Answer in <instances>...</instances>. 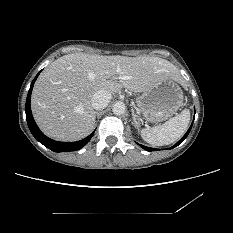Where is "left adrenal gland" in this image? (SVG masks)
I'll list each match as a JSON object with an SVG mask.
<instances>
[{
    "label": "left adrenal gland",
    "mask_w": 233,
    "mask_h": 233,
    "mask_svg": "<svg viewBox=\"0 0 233 233\" xmlns=\"http://www.w3.org/2000/svg\"><path fill=\"white\" fill-rule=\"evenodd\" d=\"M131 112H132V120H133L132 123L137 129H139V126H138L139 123L137 121V115L135 114L133 109H131Z\"/></svg>",
    "instance_id": "a2214340"
}]
</instances>
